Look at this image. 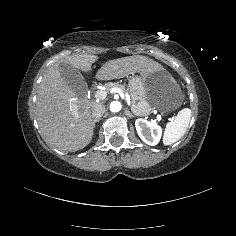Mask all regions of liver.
<instances>
[{
	"instance_id": "liver-1",
	"label": "liver",
	"mask_w": 236,
	"mask_h": 236,
	"mask_svg": "<svg viewBox=\"0 0 236 236\" xmlns=\"http://www.w3.org/2000/svg\"><path fill=\"white\" fill-rule=\"evenodd\" d=\"M97 60L98 56L95 55L75 54L65 56L61 62L88 72ZM59 64L60 62L52 64L43 75L36 100L37 121L46 142L61 151L74 152L83 149L92 140L94 125L91 113L93 105L98 102L78 98L62 78L58 70ZM161 69V64L146 56H127L104 63L96 73V79H120L136 72L146 76ZM70 105L77 106V121L73 118ZM73 123L74 127L71 126Z\"/></svg>"
}]
</instances>
